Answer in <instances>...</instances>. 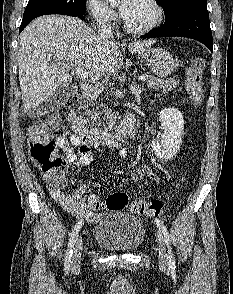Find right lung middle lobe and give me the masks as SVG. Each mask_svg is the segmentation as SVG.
<instances>
[{"label":"right lung middle lobe","instance_id":"1","mask_svg":"<svg viewBox=\"0 0 233 294\" xmlns=\"http://www.w3.org/2000/svg\"><path fill=\"white\" fill-rule=\"evenodd\" d=\"M86 0H29L22 23L48 14L75 16L85 12Z\"/></svg>","mask_w":233,"mask_h":294}]
</instances>
